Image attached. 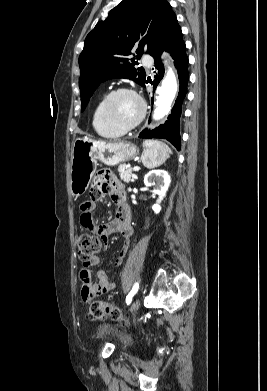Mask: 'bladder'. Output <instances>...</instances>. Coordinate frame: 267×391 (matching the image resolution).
<instances>
[{"label":"bladder","mask_w":267,"mask_h":391,"mask_svg":"<svg viewBox=\"0 0 267 391\" xmlns=\"http://www.w3.org/2000/svg\"><path fill=\"white\" fill-rule=\"evenodd\" d=\"M111 332H112V327L108 324H104V325H101L98 327L97 336L99 338H104L108 334H110ZM116 337L118 338V340L121 343H126L128 341V337L126 335H124L123 333H117Z\"/></svg>","instance_id":"31cf9c89"}]
</instances>
